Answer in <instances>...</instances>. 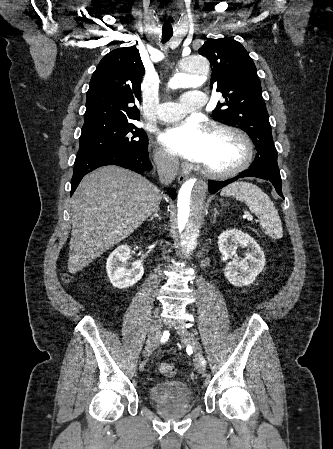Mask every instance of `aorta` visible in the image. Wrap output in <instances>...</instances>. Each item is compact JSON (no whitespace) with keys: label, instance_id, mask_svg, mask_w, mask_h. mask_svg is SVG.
Instances as JSON below:
<instances>
[{"label":"aorta","instance_id":"obj_1","mask_svg":"<svg viewBox=\"0 0 333 449\" xmlns=\"http://www.w3.org/2000/svg\"><path fill=\"white\" fill-rule=\"evenodd\" d=\"M181 70L171 79L169 86L200 87L210 74V64L201 54H192L181 59ZM208 183L189 178L178 192V237L183 250L189 254L197 245L200 232L201 212L205 202Z\"/></svg>","mask_w":333,"mask_h":449}]
</instances>
